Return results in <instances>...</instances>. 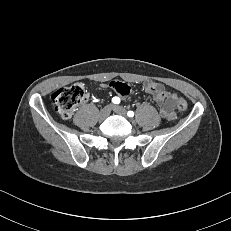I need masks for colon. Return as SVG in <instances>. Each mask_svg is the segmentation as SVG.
Segmentation results:
<instances>
[{"instance_id":"obj_1","label":"colon","mask_w":231,"mask_h":231,"mask_svg":"<svg viewBox=\"0 0 231 231\" xmlns=\"http://www.w3.org/2000/svg\"><path fill=\"white\" fill-rule=\"evenodd\" d=\"M86 98L87 89L81 82L59 88L51 96L56 111L63 119L70 118L75 108ZM176 105L180 111H185L188 108V103L184 98H178Z\"/></svg>"}]
</instances>
